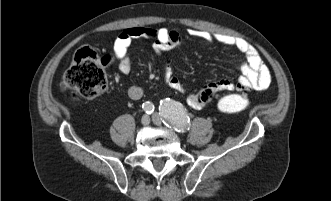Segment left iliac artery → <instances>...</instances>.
Wrapping results in <instances>:
<instances>
[{
    "mask_svg": "<svg viewBox=\"0 0 331 201\" xmlns=\"http://www.w3.org/2000/svg\"><path fill=\"white\" fill-rule=\"evenodd\" d=\"M164 123L174 128L177 132L183 133L190 126V117L181 103L175 102L169 98L160 101L159 107Z\"/></svg>",
    "mask_w": 331,
    "mask_h": 201,
    "instance_id": "obj_1",
    "label": "left iliac artery"
}]
</instances>
